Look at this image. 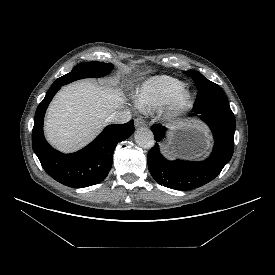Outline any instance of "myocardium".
Here are the masks:
<instances>
[{
	"mask_svg": "<svg viewBox=\"0 0 275 275\" xmlns=\"http://www.w3.org/2000/svg\"><path fill=\"white\" fill-rule=\"evenodd\" d=\"M192 106V94L183 88L178 91L164 107V117L169 121L181 119Z\"/></svg>",
	"mask_w": 275,
	"mask_h": 275,
	"instance_id": "obj_1",
	"label": "myocardium"
}]
</instances>
